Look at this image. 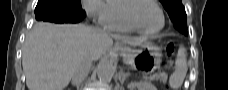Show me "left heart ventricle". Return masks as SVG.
I'll return each mask as SVG.
<instances>
[{
    "label": "left heart ventricle",
    "mask_w": 228,
    "mask_h": 90,
    "mask_svg": "<svg viewBox=\"0 0 228 90\" xmlns=\"http://www.w3.org/2000/svg\"><path fill=\"white\" fill-rule=\"evenodd\" d=\"M132 15L142 27L148 30H156L162 24L159 10L147 1L137 4Z\"/></svg>",
    "instance_id": "1"
}]
</instances>
